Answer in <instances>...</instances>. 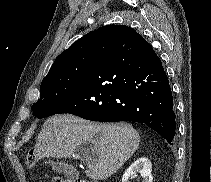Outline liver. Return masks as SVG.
Here are the masks:
<instances>
[{
  "label": "liver",
  "instance_id": "1",
  "mask_svg": "<svg viewBox=\"0 0 211 182\" xmlns=\"http://www.w3.org/2000/svg\"><path fill=\"white\" fill-rule=\"evenodd\" d=\"M90 144L93 158L85 174L94 181L113 175L133 155L140 143L139 133L129 124H97L71 114L53 116L43 124L35 145L38 159L70 158L82 144Z\"/></svg>",
  "mask_w": 211,
  "mask_h": 182
}]
</instances>
